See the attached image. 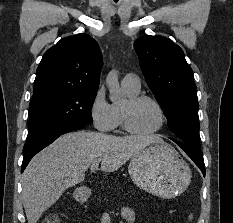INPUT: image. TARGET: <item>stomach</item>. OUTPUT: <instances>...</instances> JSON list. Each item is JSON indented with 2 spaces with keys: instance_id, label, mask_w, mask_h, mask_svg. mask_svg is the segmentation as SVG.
Returning <instances> with one entry per match:
<instances>
[{
  "instance_id": "stomach-1",
  "label": "stomach",
  "mask_w": 233,
  "mask_h": 223,
  "mask_svg": "<svg viewBox=\"0 0 233 223\" xmlns=\"http://www.w3.org/2000/svg\"><path fill=\"white\" fill-rule=\"evenodd\" d=\"M128 173L141 189L158 197H176L188 187L192 173L178 151L165 141H152L132 155ZM82 197L83 191H76Z\"/></svg>"
}]
</instances>
